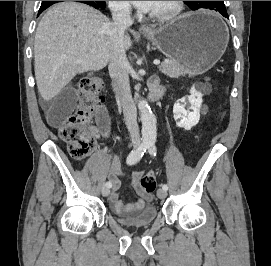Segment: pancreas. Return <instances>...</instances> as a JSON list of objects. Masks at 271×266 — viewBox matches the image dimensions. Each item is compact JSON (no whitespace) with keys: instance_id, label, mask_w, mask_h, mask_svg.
Instances as JSON below:
<instances>
[{"instance_id":"1","label":"pancreas","mask_w":271,"mask_h":266,"mask_svg":"<svg viewBox=\"0 0 271 266\" xmlns=\"http://www.w3.org/2000/svg\"><path fill=\"white\" fill-rule=\"evenodd\" d=\"M159 70L170 78H178L186 74L183 66L174 59H168L162 62Z\"/></svg>"}]
</instances>
